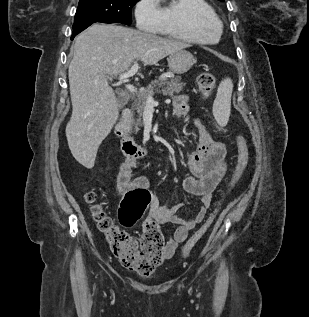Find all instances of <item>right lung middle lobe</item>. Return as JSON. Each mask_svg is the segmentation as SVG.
<instances>
[{
	"label": "right lung middle lobe",
	"instance_id": "right-lung-middle-lobe-1",
	"mask_svg": "<svg viewBox=\"0 0 309 317\" xmlns=\"http://www.w3.org/2000/svg\"><path fill=\"white\" fill-rule=\"evenodd\" d=\"M139 0H79L73 28L85 23H123L131 25V8Z\"/></svg>",
	"mask_w": 309,
	"mask_h": 317
}]
</instances>
